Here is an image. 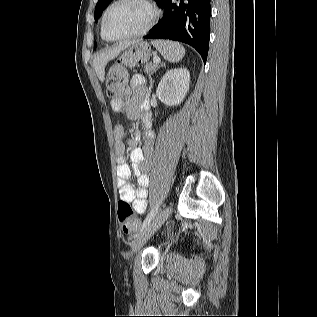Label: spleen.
<instances>
[{
    "label": "spleen",
    "mask_w": 317,
    "mask_h": 317,
    "mask_svg": "<svg viewBox=\"0 0 317 317\" xmlns=\"http://www.w3.org/2000/svg\"><path fill=\"white\" fill-rule=\"evenodd\" d=\"M152 45L160 52L164 59L169 62H179L185 55L184 47L173 41H153Z\"/></svg>",
    "instance_id": "obj_1"
}]
</instances>
